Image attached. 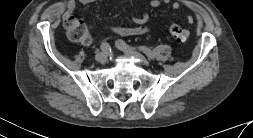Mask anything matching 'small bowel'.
Masks as SVG:
<instances>
[{"label":"small bowel","mask_w":253,"mask_h":138,"mask_svg":"<svg viewBox=\"0 0 253 138\" xmlns=\"http://www.w3.org/2000/svg\"><path fill=\"white\" fill-rule=\"evenodd\" d=\"M95 1L104 2L107 0H69L66 3L65 12H64V19H67L71 17L73 14L77 2H80L82 4H87ZM136 1V0H132ZM171 5L173 10H178L181 7V3L178 1L172 2V0H149V5L151 7L157 8L162 5ZM132 22L135 24V26L132 27H124V26H106L105 29L109 30L115 34H119L122 36H137V35H143L150 32V28L146 26L147 21L149 20V14L147 11H143L140 16H132L131 17ZM187 21L189 23L194 22L193 17H187ZM106 40H104L105 42Z\"/></svg>","instance_id":"obj_1"}]
</instances>
